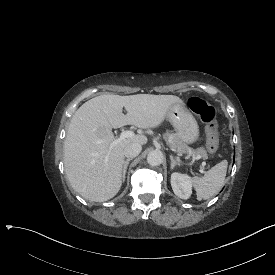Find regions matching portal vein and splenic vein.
Here are the masks:
<instances>
[{
  "label": "portal vein and splenic vein",
  "mask_w": 275,
  "mask_h": 275,
  "mask_svg": "<svg viewBox=\"0 0 275 275\" xmlns=\"http://www.w3.org/2000/svg\"><path fill=\"white\" fill-rule=\"evenodd\" d=\"M135 136H136L135 132L129 130V131L123 132L122 135H121V137H120V139L133 138V137H135ZM118 142H119V140L113 141V142L110 144V146H109V150L111 151L112 147L115 146V145H117ZM194 159H195V160H198L199 157L196 156V157H194ZM201 166L204 167V166H205V162H202Z\"/></svg>",
  "instance_id": "18ae733b"
}]
</instances>
